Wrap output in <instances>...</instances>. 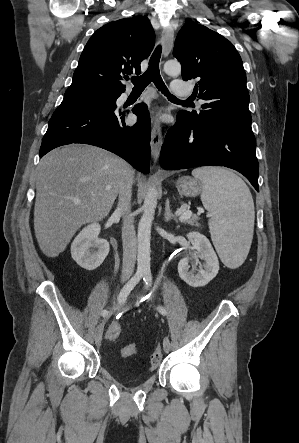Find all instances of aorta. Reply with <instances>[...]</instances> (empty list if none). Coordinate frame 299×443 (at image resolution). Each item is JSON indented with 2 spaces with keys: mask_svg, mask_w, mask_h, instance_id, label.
Instances as JSON below:
<instances>
[{
  "mask_svg": "<svg viewBox=\"0 0 299 443\" xmlns=\"http://www.w3.org/2000/svg\"><path fill=\"white\" fill-rule=\"evenodd\" d=\"M164 71L169 76L177 77L181 73V65L178 61H167L164 64ZM157 195L156 188H149L142 206L143 215L138 225L137 272L141 274H150L151 226L157 206Z\"/></svg>",
  "mask_w": 299,
  "mask_h": 443,
  "instance_id": "aorta-1",
  "label": "aorta"
}]
</instances>
